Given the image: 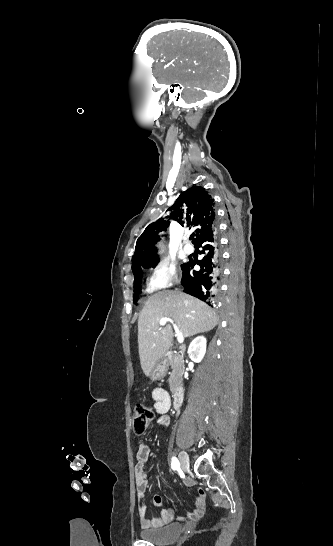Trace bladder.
Listing matches in <instances>:
<instances>
[{"label":"bladder","mask_w":333,"mask_h":546,"mask_svg":"<svg viewBox=\"0 0 333 546\" xmlns=\"http://www.w3.org/2000/svg\"><path fill=\"white\" fill-rule=\"evenodd\" d=\"M183 532L180 523H170L160 528H145L139 532L140 538L144 541L158 545L170 543L177 539Z\"/></svg>","instance_id":"bladder-1"}]
</instances>
